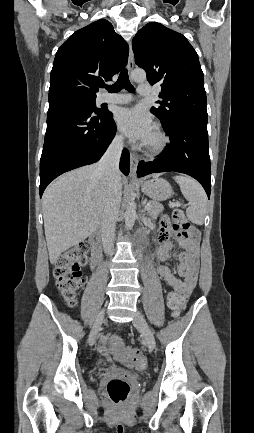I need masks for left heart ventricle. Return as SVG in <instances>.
Masks as SVG:
<instances>
[{
	"mask_svg": "<svg viewBox=\"0 0 254 433\" xmlns=\"http://www.w3.org/2000/svg\"><path fill=\"white\" fill-rule=\"evenodd\" d=\"M155 142H156V137H155L154 134H152V135L149 137V139L146 141V143H149V144H153V143H155Z\"/></svg>",
	"mask_w": 254,
	"mask_h": 433,
	"instance_id": "b2bd125f",
	"label": "left heart ventricle"
}]
</instances>
